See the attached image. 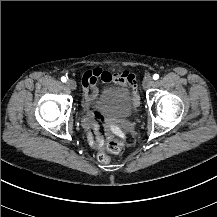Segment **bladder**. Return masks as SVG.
Segmentation results:
<instances>
[{"label": "bladder", "instance_id": "1", "mask_svg": "<svg viewBox=\"0 0 217 217\" xmlns=\"http://www.w3.org/2000/svg\"><path fill=\"white\" fill-rule=\"evenodd\" d=\"M138 100L134 98L130 90L111 91L102 99L93 102L92 110L96 113H103L111 118L128 117L133 112Z\"/></svg>", "mask_w": 217, "mask_h": 217}]
</instances>
